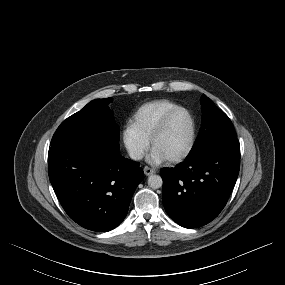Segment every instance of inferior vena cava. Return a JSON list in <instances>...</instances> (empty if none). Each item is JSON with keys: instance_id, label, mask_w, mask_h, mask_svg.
<instances>
[{"instance_id": "1", "label": "inferior vena cava", "mask_w": 285, "mask_h": 285, "mask_svg": "<svg viewBox=\"0 0 285 285\" xmlns=\"http://www.w3.org/2000/svg\"><path fill=\"white\" fill-rule=\"evenodd\" d=\"M129 156L134 160H141L143 157L142 154L138 151L130 152Z\"/></svg>"}]
</instances>
